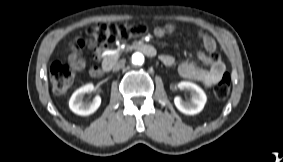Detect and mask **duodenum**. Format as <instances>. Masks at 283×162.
<instances>
[{
	"mask_svg": "<svg viewBox=\"0 0 283 162\" xmlns=\"http://www.w3.org/2000/svg\"><path fill=\"white\" fill-rule=\"evenodd\" d=\"M126 49L127 50H129V49L140 50L150 57H153V56L156 55L155 48L148 43H143V42L142 43H134V44L128 45ZM113 58L114 57H111L110 60L107 59V60L104 61L102 68L105 72H110L114 68V63L112 62Z\"/></svg>",
	"mask_w": 283,
	"mask_h": 162,
	"instance_id": "obj_1",
	"label": "duodenum"
}]
</instances>
